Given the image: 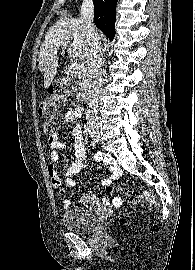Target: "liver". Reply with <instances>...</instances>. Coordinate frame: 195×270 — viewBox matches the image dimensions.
I'll return each mask as SVG.
<instances>
[{
  "label": "liver",
  "instance_id": "obj_1",
  "mask_svg": "<svg viewBox=\"0 0 195 270\" xmlns=\"http://www.w3.org/2000/svg\"><path fill=\"white\" fill-rule=\"evenodd\" d=\"M71 44L73 49H78L85 55L87 48V34L82 20L72 17L60 18L50 27L45 35V39L40 47L39 70L44 74V87L48 88L58 68L57 51L61 45L66 48ZM64 51L61 53L64 56Z\"/></svg>",
  "mask_w": 195,
  "mask_h": 270
}]
</instances>
